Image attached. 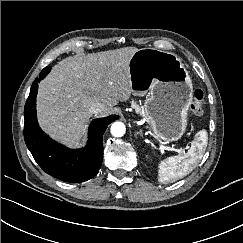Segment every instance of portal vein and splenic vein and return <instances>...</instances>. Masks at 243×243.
Here are the masks:
<instances>
[{"mask_svg":"<svg viewBox=\"0 0 243 243\" xmlns=\"http://www.w3.org/2000/svg\"><path fill=\"white\" fill-rule=\"evenodd\" d=\"M160 149L161 150H173V151H176L178 153L185 152L184 149H174V148H169V147H166V146H163V145H160Z\"/></svg>","mask_w":243,"mask_h":243,"instance_id":"portal-vein-and-splenic-vein-1","label":"portal vein and splenic vein"}]
</instances>
